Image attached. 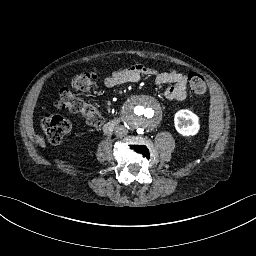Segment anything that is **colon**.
Segmentation results:
<instances>
[{
    "instance_id": "obj_1",
    "label": "colon",
    "mask_w": 256,
    "mask_h": 256,
    "mask_svg": "<svg viewBox=\"0 0 256 256\" xmlns=\"http://www.w3.org/2000/svg\"><path fill=\"white\" fill-rule=\"evenodd\" d=\"M97 79L98 74L96 72L82 73L73 77L70 82L71 87L61 89L59 92L58 108L78 114L88 124L100 127L103 121L93 104L74 93L90 91L97 84ZM187 80L194 94L202 95L205 93V80L200 73L189 72ZM42 128L50 143L60 144L70 131L71 123L67 119L47 113L42 118Z\"/></svg>"
}]
</instances>
